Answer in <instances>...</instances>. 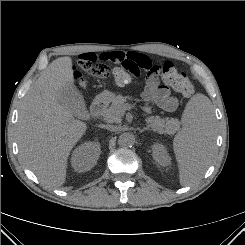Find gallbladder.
Here are the masks:
<instances>
[{
    "instance_id": "obj_1",
    "label": "gallbladder",
    "mask_w": 245,
    "mask_h": 245,
    "mask_svg": "<svg viewBox=\"0 0 245 245\" xmlns=\"http://www.w3.org/2000/svg\"><path fill=\"white\" fill-rule=\"evenodd\" d=\"M58 102L76 117L83 118L87 114L84 98L75 86L61 91Z\"/></svg>"
}]
</instances>
